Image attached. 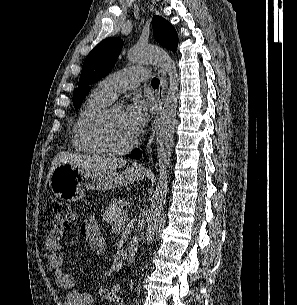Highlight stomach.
I'll use <instances>...</instances> for the list:
<instances>
[{"label": "stomach", "instance_id": "stomach-1", "mask_svg": "<svg viewBox=\"0 0 297 305\" xmlns=\"http://www.w3.org/2000/svg\"><path fill=\"white\" fill-rule=\"evenodd\" d=\"M144 176L145 172L135 167H127L118 173L60 163L50 176L49 186L59 199L75 202L84 197L85 188L106 191L142 180Z\"/></svg>", "mask_w": 297, "mask_h": 305}]
</instances>
